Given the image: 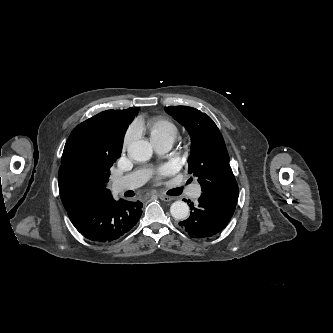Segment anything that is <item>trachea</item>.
<instances>
[{"mask_svg":"<svg viewBox=\"0 0 333 333\" xmlns=\"http://www.w3.org/2000/svg\"><path fill=\"white\" fill-rule=\"evenodd\" d=\"M182 188H177V189H174V193L173 195H180L182 193Z\"/></svg>","mask_w":333,"mask_h":333,"instance_id":"trachea-1","label":"trachea"}]
</instances>
